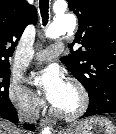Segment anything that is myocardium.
Returning a JSON list of instances; mask_svg holds the SVG:
<instances>
[{"label":"myocardium","mask_w":116,"mask_h":134,"mask_svg":"<svg viewBox=\"0 0 116 134\" xmlns=\"http://www.w3.org/2000/svg\"><path fill=\"white\" fill-rule=\"evenodd\" d=\"M68 87L73 90L77 96V105L71 111H63L56 106L51 107V112L66 121H72L81 117L88 109L89 95L84 86L78 81L71 80L68 82Z\"/></svg>","instance_id":"1"}]
</instances>
